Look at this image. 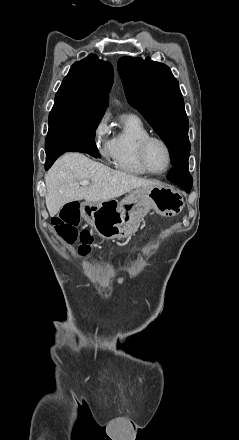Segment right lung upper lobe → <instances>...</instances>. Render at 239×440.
<instances>
[{"mask_svg": "<svg viewBox=\"0 0 239 440\" xmlns=\"http://www.w3.org/2000/svg\"><path fill=\"white\" fill-rule=\"evenodd\" d=\"M113 77L111 63L94 54L75 62L56 93L53 108L104 115Z\"/></svg>", "mask_w": 239, "mask_h": 440, "instance_id": "obj_1", "label": "right lung upper lobe"}]
</instances>
